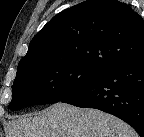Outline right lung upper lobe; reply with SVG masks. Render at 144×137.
Segmentation results:
<instances>
[{"instance_id":"obj_1","label":"right lung upper lobe","mask_w":144,"mask_h":137,"mask_svg":"<svg viewBox=\"0 0 144 137\" xmlns=\"http://www.w3.org/2000/svg\"><path fill=\"white\" fill-rule=\"evenodd\" d=\"M144 51V21L117 0H88L59 13L32 39L18 67L78 61L109 70Z\"/></svg>"}]
</instances>
